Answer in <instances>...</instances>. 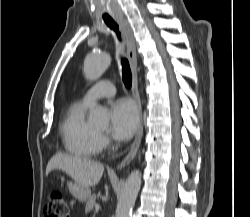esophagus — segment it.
I'll list each match as a JSON object with an SVG mask.
<instances>
[{
    "mask_svg": "<svg viewBox=\"0 0 250 217\" xmlns=\"http://www.w3.org/2000/svg\"><path fill=\"white\" fill-rule=\"evenodd\" d=\"M117 22L120 26L122 34L124 35L126 39L127 57L130 62V67L132 71V89L131 90H132V94L136 102L138 113H139V127L137 130L135 139L130 147L128 154L117 166L118 169H122L125 166L129 165V163L133 160L141 144V140L143 136V114H142L140 95L138 91L137 53H136L135 37L126 19L120 18V19H117Z\"/></svg>",
    "mask_w": 250,
    "mask_h": 217,
    "instance_id": "34e87169",
    "label": "esophagus"
}]
</instances>
